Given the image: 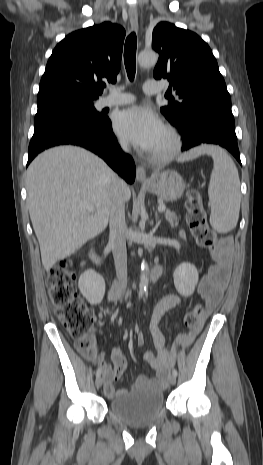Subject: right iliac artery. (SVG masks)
Returning a JSON list of instances; mask_svg holds the SVG:
<instances>
[{
  "label": "right iliac artery",
  "mask_w": 263,
  "mask_h": 465,
  "mask_svg": "<svg viewBox=\"0 0 263 465\" xmlns=\"http://www.w3.org/2000/svg\"><path fill=\"white\" fill-rule=\"evenodd\" d=\"M101 368H98L97 371H96V377H99L101 375Z\"/></svg>",
  "instance_id": "right-iliac-artery-1"
}]
</instances>
